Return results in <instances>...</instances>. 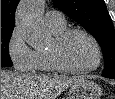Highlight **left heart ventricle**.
<instances>
[{
  "mask_svg": "<svg viewBox=\"0 0 115 99\" xmlns=\"http://www.w3.org/2000/svg\"><path fill=\"white\" fill-rule=\"evenodd\" d=\"M59 53L65 64L76 68L92 66L96 60L93 44L84 35L78 33L66 39Z\"/></svg>",
  "mask_w": 115,
  "mask_h": 99,
  "instance_id": "left-heart-ventricle-1",
  "label": "left heart ventricle"
}]
</instances>
